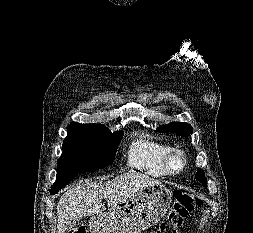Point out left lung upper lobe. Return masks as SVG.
<instances>
[{"mask_svg": "<svg viewBox=\"0 0 253 233\" xmlns=\"http://www.w3.org/2000/svg\"><path fill=\"white\" fill-rule=\"evenodd\" d=\"M157 131L163 132V133H168V132H173V133H178L181 136H188L193 132V128L191 127L190 124L187 123H180V122H174L170 123L165 126H160ZM195 178L207 186V182L205 179V173L202 169H199L195 175Z\"/></svg>", "mask_w": 253, "mask_h": 233, "instance_id": "left-lung-upper-lobe-1", "label": "left lung upper lobe"}]
</instances>
